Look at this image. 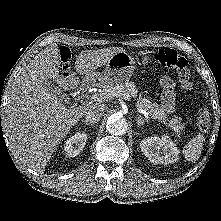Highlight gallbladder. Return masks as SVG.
Here are the masks:
<instances>
[{"label":"gallbladder","instance_id":"1","mask_svg":"<svg viewBox=\"0 0 221 221\" xmlns=\"http://www.w3.org/2000/svg\"><path fill=\"white\" fill-rule=\"evenodd\" d=\"M47 87L49 89H52L54 91V93L58 96V98H60L61 100H66L67 99V95L62 93L60 90L56 89L55 86L52 84V82H49Z\"/></svg>","mask_w":221,"mask_h":221}]
</instances>
